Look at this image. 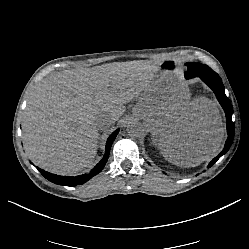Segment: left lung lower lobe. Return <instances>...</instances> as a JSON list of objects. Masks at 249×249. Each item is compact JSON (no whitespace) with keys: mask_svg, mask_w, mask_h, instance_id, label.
<instances>
[{"mask_svg":"<svg viewBox=\"0 0 249 249\" xmlns=\"http://www.w3.org/2000/svg\"><path fill=\"white\" fill-rule=\"evenodd\" d=\"M186 79H190L193 77H189L187 75H185ZM200 78L202 79V81L204 83H206L215 93L219 103L221 104V106L223 107L225 114H226V119H227V133H228V139L225 143L224 149L222 150V152H220V154L215 157L210 163L209 166H212L214 163H216L218 161V159L226 154V152L229 150L232 142H233V137H234V126L232 123V106L231 103L228 99V97L225 95V91H224V85L222 83L221 78L219 77V75L215 72L212 75H208V76H200Z\"/></svg>","mask_w":249,"mask_h":249,"instance_id":"left-lung-lower-lobe-1","label":"left lung lower lobe"}]
</instances>
